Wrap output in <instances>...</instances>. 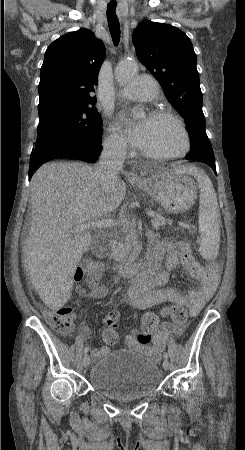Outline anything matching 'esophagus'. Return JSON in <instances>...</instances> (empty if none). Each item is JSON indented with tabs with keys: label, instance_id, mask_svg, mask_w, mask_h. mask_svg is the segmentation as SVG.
Returning <instances> with one entry per match:
<instances>
[{
	"label": "esophagus",
	"instance_id": "34e87169",
	"mask_svg": "<svg viewBox=\"0 0 245 450\" xmlns=\"http://www.w3.org/2000/svg\"><path fill=\"white\" fill-rule=\"evenodd\" d=\"M129 178L132 179V180H139L140 176L137 173H135V172H130L129 173Z\"/></svg>",
	"mask_w": 245,
	"mask_h": 450
}]
</instances>
